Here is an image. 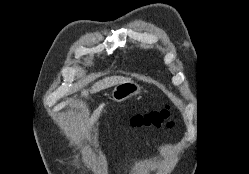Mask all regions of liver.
<instances>
[{"mask_svg": "<svg viewBox=\"0 0 249 174\" xmlns=\"http://www.w3.org/2000/svg\"><path fill=\"white\" fill-rule=\"evenodd\" d=\"M130 81L129 78L122 77V76H112V77H105L104 79L96 82L91 89L89 90L91 93H97L101 90H104L106 88L112 87L114 85ZM88 90L82 91V95L87 96Z\"/></svg>", "mask_w": 249, "mask_h": 174, "instance_id": "liver-1", "label": "liver"}]
</instances>
